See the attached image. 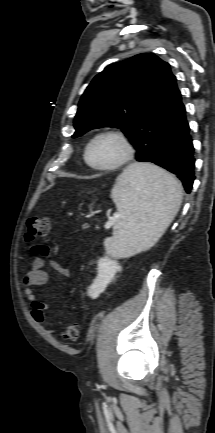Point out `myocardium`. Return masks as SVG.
<instances>
[{
    "label": "myocardium",
    "instance_id": "obj_1",
    "mask_svg": "<svg viewBox=\"0 0 215 433\" xmlns=\"http://www.w3.org/2000/svg\"><path fill=\"white\" fill-rule=\"evenodd\" d=\"M105 136H112L117 138L122 146H123V154L121 158L116 161L113 164L109 165H95L93 164L89 159V151L93 143L98 140L101 137ZM134 155V146L129 137L121 130L118 129H106L103 131H100L99 133L95 134L87 143L85 150H84V160L86 164L91 167L92 169L98 170V171H115L122 167H124L127 163L131 161Z\"/></svg>",
    "mask_w": 215,
    "mask_h": 433
}]
</instances>
